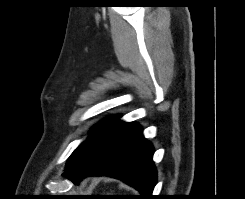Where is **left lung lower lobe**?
Listing matches in <instances>:
<instances>
[{
    "label": "left lung lower lobe",
    "mask_w": 245,
    "mask_h": 199,
    "mask_svg": "<svg viewBox=\"0 0 245 199\" xmlns=\"http://www.w3.org/2000/svg\"><path fill=\"white\" fill-rule=\"evenodd\" d=\"M153 153L138 124L116 117L87 143L63 176L75 183L89 175L115 177L136 188L142 199H151L157 177Z\"/></svg>",
    "instance_id": "0a47b994"
}]
</instances>
